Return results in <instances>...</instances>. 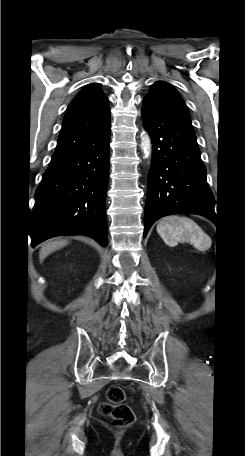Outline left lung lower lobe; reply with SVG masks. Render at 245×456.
Instances as JSON below:
<instances>
[{
	"mask_svg": "<svg viewBox=\"0 0 245 456\" xmlns=\"http://www.w3.org/2000/svg\"><path fill=\"white\" fill-rule=\"evenodd\" d=\"M142 121L153 143L144 237L156 220L167 215L198 214L212 220L214 196L190 116L144 98Z\"/></svg>",
	"mask_w": 245,
	"mask_h": 456,
	"instance_id": "0a47b994",
	"label": "left lung lower lobe"
}]
</instances>
